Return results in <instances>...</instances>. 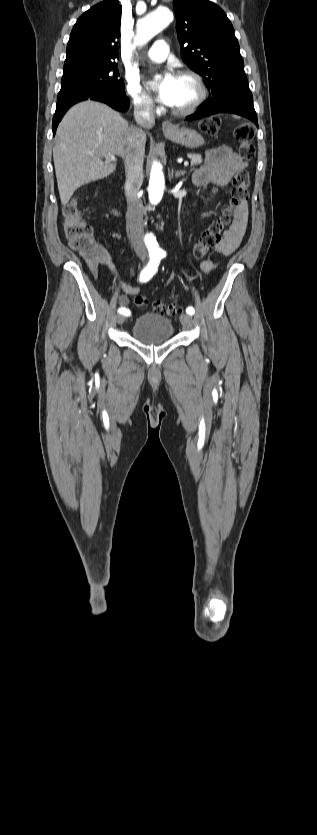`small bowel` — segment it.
Returning a JSON list of instances; mask_svg holds the SVG:
<instances>
[{"label": "small bowel", "instance_id": "small-bowel-1", "mask_svg": "<svg viewBox=\"0 0 317 835\" xmlns=\"http://www.w3.org/2000/svg\"><path fill=\"white\" fill-rule=\"evenodd\" d=\"M247 163L241 160L232 149L223 145L207 151L203 163L192 173V182L196 186L210 184L212 187L205 197L208 201L212 194L219 188L227 186L232 178L244 170ZM110 213L116 215L114 209ZM248 226V211L246 207L241 208L231 227L224 233L223 239L215 247V254L223 257L231 255L242 242ZM88 267L92 274L98 275L100 267H107L113 276L119 281L123 294L118 298L121 307L126 308L129 303V296L140 293V287L133 286L122 280L120 273L109 252L104 248H98L92 259L87 260ZM218 265L214 256L200 262L199 267L203 272H211Z\"/></svg>", "mask_w": 317, "mask_h": 835}]
</instances>
